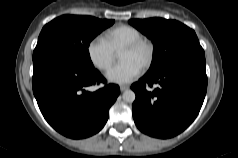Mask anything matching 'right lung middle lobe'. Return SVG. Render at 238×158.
<instances>
[{
  "label": "right lung middle lobe",
  "instance_id": "1",
  "mask_svg": "<svg viewBox=\"0 0 238 158\" xmlns=\"http://www.w3.org/2000/svg\"><path fill=\"white\" fill-rule=\"evenodd\" d=\"M114 20L98 19L91 16L63 15L46 24L38 38L33 59L43 53L59 54L75 64L94 68L88 47Z\"/></svg>",
  "mask_w": 238,
  "mask_h": 158
}]
</instances>
